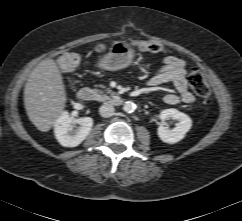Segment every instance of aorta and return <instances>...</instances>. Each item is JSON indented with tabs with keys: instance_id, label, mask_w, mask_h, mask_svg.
Returning a JSON list of instances; mask_svg holds the SVG:
<instances>
[{
	"instance_id": "762f6f07",
	"label": "aorta",
	"mask_w": 242,
	"mask_h": 221,
	"mask_svg": "<svg viewBox=\"0 0 242 221\" xmlns=\"http://www.w3.org/2000/svg\"><path fill=\"white\" fill-rule=\"evenodd\" d=\"M136 109V104L131 102V101H127L125 102L124 106H123V110L126 112V113H132L134 112Z\"/></svg>"
}]
</instances>
